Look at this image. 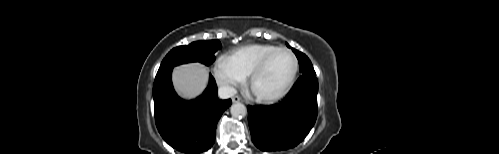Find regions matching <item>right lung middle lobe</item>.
I'll list each match as a JSON object with an SVG mask.
<instances>
[{"label": "right lung middle lobe", "mask_w": 499, "mask_h": 154, "mask_svg": "<svg viewBox=\"0 0 499 154\" xmlns=\"http://www.w3.org/2000/svg\"><path fill=\"white\" fill-rule=\"evenodd\" d=\"M220 48L221 43L218 40L196 41L189 45L176 47L163 59L158 73L188 62H201L208 66L214 62V53Z\"/></svg>", "instance_id": "1"}]
</instances>
